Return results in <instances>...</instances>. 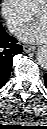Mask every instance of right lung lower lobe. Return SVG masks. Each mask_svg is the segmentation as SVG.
Wrapping results in <instances>:
<instances>
[{"label": "right lung lower lobe", "instance_id": "98d812e1", "mask_svg": "<svg viewBox=\"0 0 47 129\" xmlns=\"http://www.w3.org/2000/svg\"><path fill=\"white\" fill-rule=\"evenodd\" d=\"M21 52L22 46L17 44V40L8 35L0 24V88L10 76L13 57Z\"/></svg>", "mask_w": 47, "mask_h": 129}]
</instances>
